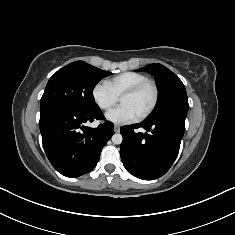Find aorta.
<instances>
[{"label": "aorta", "instance_id": "aorta-1", "mask_svg": "<svg viewBox=\"0 0 235 235\" xmlns=\"http://www.w3.org/2000/svg\"><path fill=\"white\" fill-rule=\"evenodd\" d=\"M122 140H123V137L121 134L119 133H116L112 136V142L114 144H121L122 143Z\"/></svg>", "mask_w": 235, "mask_h": 235}]
</instances>
